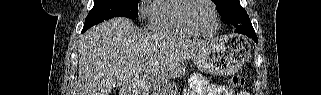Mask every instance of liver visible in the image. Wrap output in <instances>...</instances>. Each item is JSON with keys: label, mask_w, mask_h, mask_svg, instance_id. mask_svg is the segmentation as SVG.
Instances as JSON below:
<instances>
[{"label": "liver", "mask_w": 321, "mask_h": 95, "mask_svg": "<svg viewBox=\"0 0 321 95\" xmlns=\"http://www.w3.org/2000/svg\"><path fill=\"white\" fill-rule=\"evenodd\" d=\"M206 43L141 33L131 20L113 18L81 38L73 95H109L112 86L137 82L142 73L152 80L160 78L193 58Z\"/></svg>", "instance_id": "obj_1"}]
</instances>
